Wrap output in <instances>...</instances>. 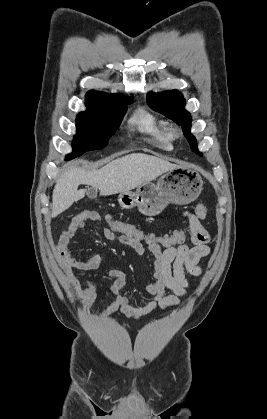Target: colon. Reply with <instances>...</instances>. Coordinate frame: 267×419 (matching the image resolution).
I'll use <instances>...</instances> for the list:
<instances>
[{
    "instance_id": "colon-1",
    "label": "colon",
    "mask_w": 267,
    "mask_h": 419,
    "mask_svg": "<svg viewBox=\"0 0 267 419\" xmlns=\"http://www.w3.org/2000/svg\"><path fill=\"white\" fill-rule=\"evenodd\" d=\"M193 214L198 218H203L207 214V207L204 204H199L195 207ZM105 220L108 229L118 237L119 243L128 247L138 245L168 247L184 241L186 237V233L182 229L175 230L169 234L155 235L143 231L135 224L116 220L111 216H106Z\"/></svg>"
}]
</instances>
